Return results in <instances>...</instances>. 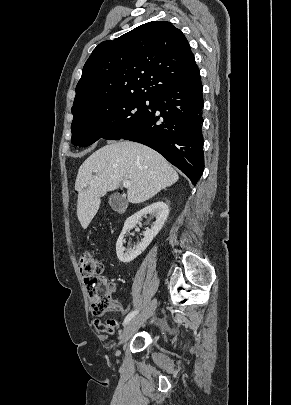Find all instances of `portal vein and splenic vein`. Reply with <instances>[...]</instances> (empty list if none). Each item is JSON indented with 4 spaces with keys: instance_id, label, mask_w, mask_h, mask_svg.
<instances>
[{
    "instance_id": "1",
    "label": "portal vein and splenic vein",
    "mask_w": 291,
    "mask_h": 405,
    "mask_svg": "<svg viewBox=\"0 0 291 405\" xmlns=\"http://www.w3.org/2000/svg\"><path fill=\"white\" fill-rule=\"evenodd\" d=\"M123 186L125 188H129L131 186V182L129 180L123 181Z\"/></svg>"
}]
</instances>
